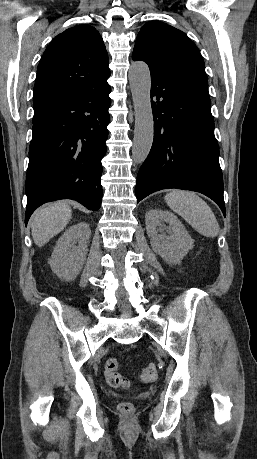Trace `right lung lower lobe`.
<instances>
[{
    "instance_id": "98d812e1",
    "label": "right lung lower lobe",
    "mask_w": 257,
    "mask_h": 459,
    "mask_svg": "<svg viewBox=\"0 0 257 459\" xmlns=\"http://www.w3.org/2000/svg\"><path fill=\"white\" fill-rule=\"evenodd\" d=\"M110 91L106 81L80 94L34 105L25 225L37 207L54 200H76L93 211L100 208Z\"/></svg>"
}]
</instances>
